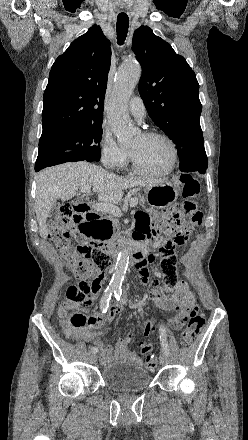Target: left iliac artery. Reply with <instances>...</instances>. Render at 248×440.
I'll use <instances>...</instances> for the list:
<instances>
[{
    "instance_id": "obj_1",
    "label": "left iliac artery",
    "mask_w": 248,
    "mask_h": 440,
    "mask_svg": "<svg viewBox=\"0 0 248 440\" xmlns=\"http://www.w3.org/2000/svg\"><path fill=\"white\" fill-rule=\"evenodd\" d=\"M114 295H115V298L117 299V301H120L121 303L126 302L125 299L122 298L121 287L116 288L114 290ZM160 342H161L163 352L169 355L170 350H169V346H168V342H167L166 332H165V329H163V328H160Z\"/></svg>"
}]
</instances>
